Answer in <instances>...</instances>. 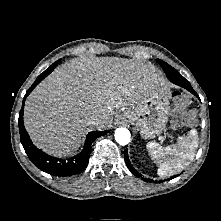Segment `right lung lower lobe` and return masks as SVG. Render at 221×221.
Returning a JSON list of instances; mask_svg holds the SVG:
<instances>
[{"label":"right lung lower lobe","mask_w":221,"mask_h":221,"mask_svg":"<svg viewBox=\"0 0 221 221\" xmlns=\"http://www.w3.org/2000/svg\"><path fill=\"white\" fill-rule=\"evenodd\" d=\"M53 69H47L42 74H40L35 80V82L32 84V86L27 90L24 96L18 120L20 139L29 159L40 170L55 176L76 175L82 172L86 168L89 161L91 145L93 141L98 137L107 134L109 130L93 131L88 133L83 150L78 155L71 157L69 159H59L50 156L33 145L28 133L25 130L23 123V108H24L25 98L41 82V80H43L47 75H49L53 71Z\"/></svg>","instance_id":"1"}]
</instances>
